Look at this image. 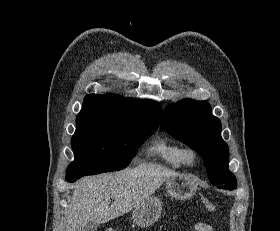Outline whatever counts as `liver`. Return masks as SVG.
I'll list each match as a JSON object with an SVG mask.
<instances>
[{
    "label": "liver",
    "instance_id": "obj_1",
    "mask_svg": "<svg viewBox=\"0 0 280 231\" xmlns=\"http://www.w3.org/2000/svg\"><path fill=\"white\" fill-rule=\"evenodd\" d=\"M178 171L162 165H137L122 171L87 175L72 185L71 203L65 211L66 231H83L89 221L105 223L128 213ZM111 199L113 203L109 205Z\"/></svg>",
    "mask_w": 280,
    "mask_h": 231
}]
</instances>
